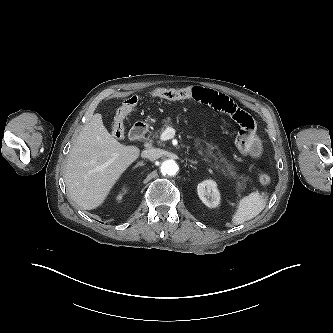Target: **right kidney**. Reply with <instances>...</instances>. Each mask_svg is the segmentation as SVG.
<instances>
[{
	"label": "right kidney",
	"instance_id": "obj_1",
	"mask_svg": "<svg viewBox=\"0 0 333 333\" xmlns=\"http://www.w3.org/2000/svg\"><path fill=\"white\" fill-rule=\"evenodd\" d=\"M126 191H127V190H126V189H124V190H123V193H120V194L117 196V199H118V200H121V199H122V196H123V194H125V193H126Z\"/></svg>",
	"mask_w": 333,
	"mask_h": 333
}]
</instances>
